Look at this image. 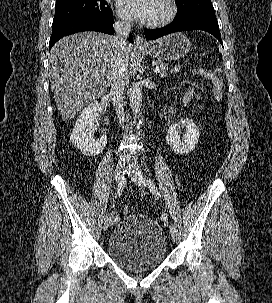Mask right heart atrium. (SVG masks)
I'll use <instances>...</instances> for the list:
<instances>
[{"label":"right heart atrium","mask_w":272,"mask_h":303,"mask_svg":"<svg viewBox=\"0 0 272 303\" xmlns=\"http://www.w3.org/2000/svg\"><path fill=\"white\" fill-rule=\"evenodd\" d=\"M120 18L124 22H128L129 21V18L126 15L122 14V13H120Z\"/></svg>","instance_id":"d8ad5b80"}]
</instances>
